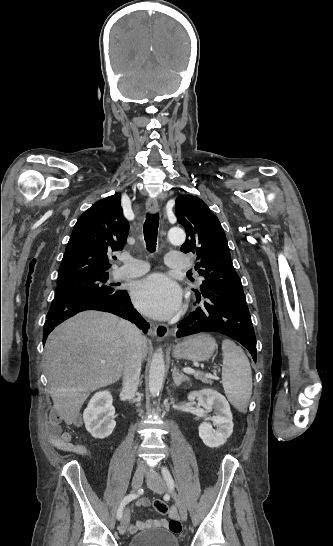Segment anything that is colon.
Segmentation results:
<instances>
[{
	"instance_id": "colon-1",
	"label": "colon",
	"mask_w": 333,
	"mask_h": 546,
	"mask_svg": "<svg viewBox=\"0 0 333 546\" xmlns=\"http://www.w3.org/2000/svg\"><path fill=\"white\" fill-rule=\"evenodd\" d=\"M154 509L159 514L165 515L169 512V507L167 503L161 499H157L153 503Z\"/></svg>"
}]
</instances>
